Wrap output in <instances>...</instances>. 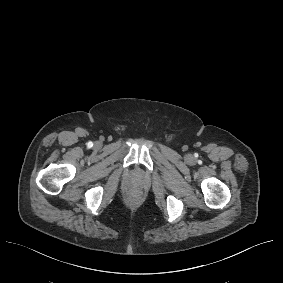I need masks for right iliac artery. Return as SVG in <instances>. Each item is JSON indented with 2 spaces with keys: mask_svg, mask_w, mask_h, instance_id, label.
<instances>
[{
  "mask_svg": "<svg viewBox=\"0 0 283 283\" xmlns=\"http://www.w3.org/2000/svg\"><path fill=\"white\" fill-rule=\"evenodd\" d=\"M88 147L91 148L93 146V143L90 141L87 143Z\"/></svg>",
  "mask_w": 283,
  "mask_h": 283,
  "instance_id": "obj_1",
  "label": "right iliac artery"
}]
</instances>
